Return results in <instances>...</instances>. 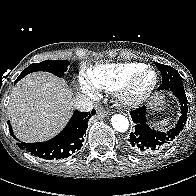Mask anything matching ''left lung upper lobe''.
I'll return each instance as SVG.
<instances>
[{
    "label": "left lung upper lobe",
    "instance_id": "obj_1",
    "mask_svg": "<svg viewBox=\"0 0 196 196\" xmlns=\"http://www.w3.org/2000/svg\"><path fill=\"white\" fill-rule=\"evenodd\" d=\"M156 66H157L158 68H159V67H164V66H165V67H169L170 69H173V68L170 67V66L163 65V64H159V63H156ZM159 71H160V69H159ZM177 73H178V72H177ZM178 75H179V73H178ZM178 81L180 82L181 86L183 87V82H182V78H181L180 75H179ZM161 88H162V89H165V90H169V89H170V87L166 86L164 82H162Z\"/></svg>",
    "mask_w": 196,
    "mask_h": 196
}]
</instances>
